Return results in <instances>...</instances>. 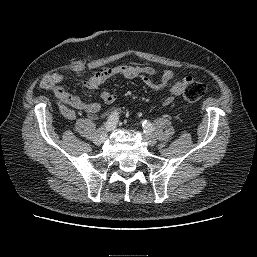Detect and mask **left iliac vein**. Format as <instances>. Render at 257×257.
<instances>
[{
	"mask_svg": "<svg viewBox=\"0 0 257 257\" xmlns=\"http://www.w3.org/2000/svg\"><path fill=\"white\" fill-rule=\"evenodd\" d=\"M143 138L145 139L146 143L149 145V146H154L156 144V138L150 134V133H143Z\"/></svg>",
	"mask_w": 257,
	"mask_h": 257,
	"instance_id": "left-iliac-vein-1",
	"label": "left iliac vein"
}]
</instances>
